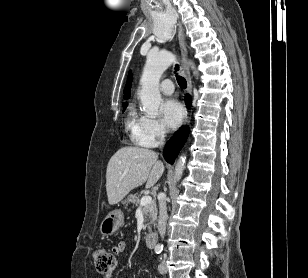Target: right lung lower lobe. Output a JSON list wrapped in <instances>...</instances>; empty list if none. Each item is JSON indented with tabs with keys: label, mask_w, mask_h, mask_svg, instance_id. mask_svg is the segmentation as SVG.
<instances>
[{
	"label": "right lung lower lobe",
	"mask_w": 308,
	"mask_h": 278,
	"mask_svg": "<svg viewBox=\"0 0 308 278\" xmlns=\"http://www.w3.org/2000/svg\"><path fill=\"white\" fill-rule=\"evenodd\" d=\"M187 106L190 107V98H187ZM189 135V129L188 127H181L177 133L172 136L165 148H164V158L167 162L170 164H173L177 155L179 154V151L183 147L184 143L186 142Z\"/></svg>",
	"instance_id": "right-lung-lower-lobe-1"
}]
</instances>
